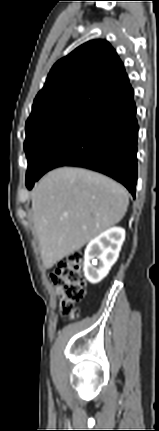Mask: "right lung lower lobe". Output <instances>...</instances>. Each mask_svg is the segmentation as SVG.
<instances>
[{
    "mask_svg": "<svg viewBox=\"0 0 159 431\" xmlns=\"http://www.w3.org/2000/svg\"><path fill=\"white\" fill-rule=\"evenodd\" d=\"M138 123L134 96L106 107L69 130L49 150L39 174L26 183L31 189L43 174L75 166L106 174L135 197Z\"/></svg>",
    "mask_w": 159,
    "mask_h": 431,
    "instance_id": "1",
    "label": "right lung lower lobe"
}]
</instances>
